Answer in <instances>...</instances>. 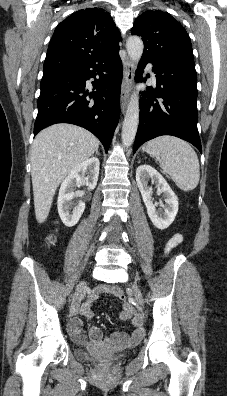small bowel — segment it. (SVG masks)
I'll use <instances>...</instances> for the list:
<instances>
[{"mask_svg": "<svg viewBox=\"0 0 227 396\" xmlns=\"http://www.w3.org/2000/svg\"><path fill=\"white\" fill-rule=\"evenodd\" d=\"M183 241V236L179 233L174 234L166 243L165 253H169L171 250L180 245ZM110 294L119 296L121 294L120 289L114 285H103L96 287L87 301L80 308V315L90 319L93 316L92 304L100 296ZM121 320H132L133 331L131 334L125 332H114L106 339L103 338L102 331L98 327H91L88 332L82 329V321L79 317H74L69 322V332L73 339L79 343L90 342L93 345H100L104 341L111 345H127L134 344L140 341L144 335V330L141 327L139 318L135 315L134 309L128 303H123L122 311L120 313Z\"/></svg>", "mask_w": 227, "mask_h": 396, "instance_id": "obj_1", "label": "small bowel"}]
</instances>
